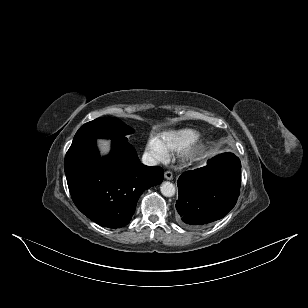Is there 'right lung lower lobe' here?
<instances>
[{
	"instance_id": "obj_1",
	"label": "right lung lower lobe",
	"mask_w": 308,
	"mask_h": 308,
	"mask_svg": "<svg viewBox=\"0 0 308 308\" xmlns=\"http://www.w3.org/2000/svg\"><path fill=\"white\" fill-rule=\"evenodd\" d=\"M64 169L71 197L90 220L108 228L128 224L140 195L160 184L163 169L145 166L128 142H113L112 151L101 157L95 140L72 144Z\"/></svg>"
}]
</instances>
